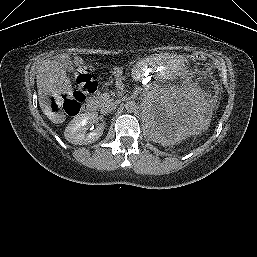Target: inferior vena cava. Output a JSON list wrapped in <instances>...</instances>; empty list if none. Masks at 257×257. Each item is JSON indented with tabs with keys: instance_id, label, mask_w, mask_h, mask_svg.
<instances>
[{
	"instance_id": "inferior-vena-cava-1",
	"label": "inferior vena cava",
	"mask_w": 257,
	"mask_h": 257,
	"mask_svg": "<svg viewBox=\"0 0 257 257\" xmlns=\"http://www.w3.org/2000/svg\"><path fill=\"white\" fill-rule=\"evenodd\" d=\"M117 105L115 102L113 101H107L104 106L101 109L102 113H110L112 112L114 109H116Z\"/></svg>"
}]
</instances>
